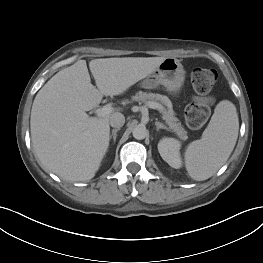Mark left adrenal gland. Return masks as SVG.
<instances>
[{"instance_id": "obj_1", "label": "left adrenal gland", "mask_w": 263, "mask_h": 263, "mask_svg": "<svg viewBox=\"0 0 263 263\" xmlns=\"http://www.w3.org/2000/svg\"><path fill=\"white\" fill-rule=\"evenodd\" d=\"M155 125H156V130L157 131H159V129H165V130L169 131V128L166 127L163 123H161L159 121H156Z\"/></svg>"}]
</instances>
